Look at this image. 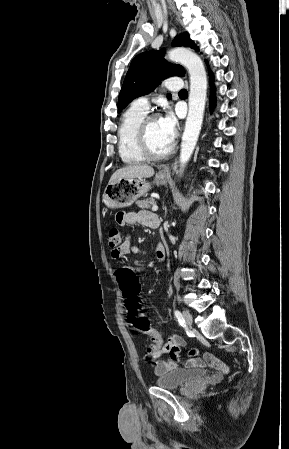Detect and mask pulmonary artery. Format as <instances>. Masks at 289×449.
I'll list each match as a JSON object with an SVG mask.
<instances>
[{
	"label": "pulmonary artery",
	"instance_id": "obj_1",
	"mask_svg": "<svg viewBox=\"0 0 289 449\" xmlns=\"http://www.w3.org/2000/svg\"><path fill=\"white\" fill-rule=\"evenodd\" d=\"M182 81L178 77H170L164 81V86L169 90H177L181 87ZM135 107L148 112L150 108V102L147 97H139L132 103Z\"/></svg>",
	"mask_w": 289,
	"mask_h": 449
}]
</instances>
